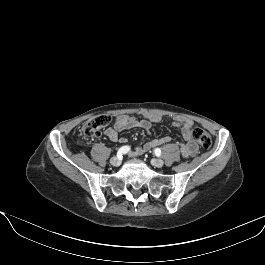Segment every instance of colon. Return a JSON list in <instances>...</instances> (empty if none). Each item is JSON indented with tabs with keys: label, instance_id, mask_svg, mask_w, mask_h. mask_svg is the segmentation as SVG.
I'll return each mask as SVG.
<instances>
[{
	"label": "colon",
	"instance_id": "5ec220e1",
	"mask_svg": "<svg viewBox=\"0 0 265 265\" xmlns=\"http://www.w3.org/2000/svg\"><path fill=\"white\" fill-rule=\"evenodd\" d=\"M111 119L108 115H99L89 120L83 127V133L86 137L96 136L104 127L109 125ZM194 140L204 149L210 148L212 144L211 137L207 131L201 128L193 129Z\"/></svg>",
	"mask_w": 265,
	"mask_h": 265
}]
</instances>
